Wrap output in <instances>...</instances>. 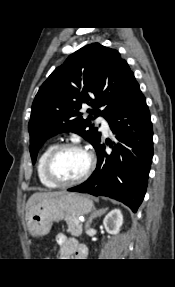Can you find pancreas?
I'll list each match as a JSON object with an SVG mask.
<instances>
[{"mask_svg":"<svg viewBox=\"0 0 175 287\" xmlns=\"http://www.w3.org/2000/svg\"><path fill=\"white\" fill-rule=\"evenodd\" d=\"M64 220L68 226V233L75 237L82 235V224L79 222L77 217L67 215Z\"/></svg>","mask_w":175,"mask_h":287,"instance_id":"1","label":"pancreas"}]
</instances>
